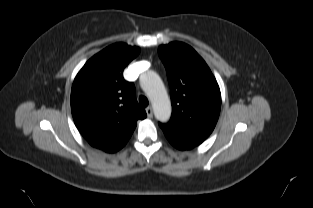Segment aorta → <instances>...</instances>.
Wrapping results in <instances>:
<instances>
[{"mask_svg":"<svg viewBox=\"0 0 313 208\" xmlns=\"http://www.w3.org/2000/svg\"><path fill=\"white\" fill-rule=\"evenodd\" d=\"M139 80L141 88L151 100L155 118L161 122L168 121L172 111L171 101L159 75L147 71L141 74Z\"/></svg>","mask_w":313,"mask_h":208,"instance_id":"762f6f07","label":"aorta"}]
</instances>
